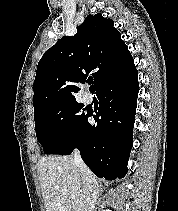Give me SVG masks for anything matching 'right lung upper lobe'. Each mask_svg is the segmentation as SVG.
<instances>
[{
	"mask_svg": "<svg viewBox=\"0 0 178 211\" xmlns=\"http://www.w3.org/2000/svg\"><path fill=\"white\" fill-rule=\"evenodd\" d=\"M134 60L111 19L88 15L73 37L64 36L40 59L34 81V114L45 107L75 100L80 83L92 72L93 89L134 68Z\"/></svg>",
	"mask_w": 178,
	"mask_h": 211,
	"instance_id": "cb5924a9",
	"label": "right lung upper lobe"
}]
</instances>
